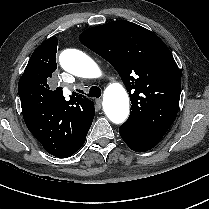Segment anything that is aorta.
Wrapping results in <instances>:
<instances>
[{"instance_id":"1","label":"aorta","mask_w":209,"mask_h":209,"mask_svg":"<svg viewBox=\"0 0 209 209\" xmlns=\"http://www.w3.org/2000/svg\"><path fill=\"white\" fill-rule=\"evenodd\" d=\"M59 60L62 68L75 76L98 78L102 75L96 62L80 50H64ZM103 109L108 119L115 124H121L128 118L129 97L120 83H112L106 88Z\"/></svg>"}]
</instances>
